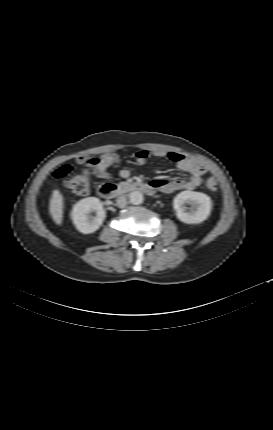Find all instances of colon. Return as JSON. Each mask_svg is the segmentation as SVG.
Returning a JSON list of instances; mask_svg holds the SVG:
<instances>
[{"label": "colon", "instance_id": "5ec220e1", "mask_svg": "<svg viewBox=\"0 0 273 430\" xmlns=\"http://www.w3.org/2000/svg\"><path fill=\"white\" fill-rule=\"evenodd\" d=\"M55 177L62 180L65 188L75 194H85L89 187V174L87 171L74 172L72 166L62 165L55 171ZM205 187L210 192L218 189L217 181L214 178L207 179Z\"/></svg>", "mask_w": 273, "mask_h": 430}]
</instances>
